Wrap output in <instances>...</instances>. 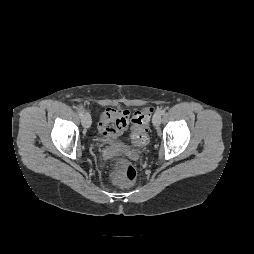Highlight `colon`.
Returning a JSON list of instances; mask_svg holds the SVG:
<instances>
[{
    "label": "colon",
    "instance_id": "colon-1",
    "mask_svg": "<svg viewBox=\"0 0 254 254\" xmlns=\"http://www.w3.org/2000/svg\"><path fill=\"white\" fill-rule=\"evenodd\" d=\"M154 109L143 107L136 110L131 119L132 140L137 145H145L149 140L150 117ZM108 175L115 183L129 186L136 179V168L129 162L121 159L113 160L109 165Z\"/></svg>",
    "mask_w": 254,
    "mask_h": 254
}]
</instances>
